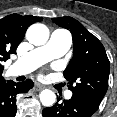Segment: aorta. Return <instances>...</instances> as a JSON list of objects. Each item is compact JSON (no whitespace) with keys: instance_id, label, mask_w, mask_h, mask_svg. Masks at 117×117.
<instances>
[{"instance_id":"obj_1","label":"aorta","mask_w":117,"mask_h":117,"mask_svg":"<svg viewBox=\"0 0 117 117\" xmlns=\"http://www.w3.org/2000/svg\"><path fill=\"white\" fill-rule=\"evenodd\" d=\"M26 38L33 45H44L49 39V29L44 24H32L27 29ZM39 97L41 103L46 107L52 106L56 101L55 93L49 89L41 91Z\"/></svg>"}]
</instances>
